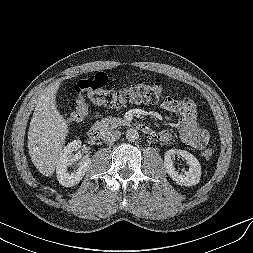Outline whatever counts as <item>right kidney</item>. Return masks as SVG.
I'll return each instance as SVG.
<instances>
[{"label": "right kidney", "mask_w": 253, "mask_h": 253, "mask_svg": "<svg viewBox=\"0 0 253 253\" xmlns=\"http://www.w3.org/2000/svg\"><path fill=\"white\" fill-rule=\"evenodd\" d=\"M81 145L82 142L80 140L70 142L66 147H64L58 158L56 174L57 179L62 186L72 187L78 184L91 165V159L84 158L79 162V167L75 172H68V167L73 165L80 158L78 154H72V152L80 149Z\"/></svg>", "instance_id": "right-kidney-1"}]
</instances>
